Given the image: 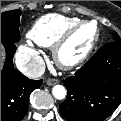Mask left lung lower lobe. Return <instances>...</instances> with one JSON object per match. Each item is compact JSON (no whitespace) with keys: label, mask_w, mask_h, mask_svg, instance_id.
<instances>
[{"label":"left lung lower lobe","mask_w":121,"mask_h":121,"mask_svg":"<svg viewBox=\"0 0 121 121\" xmlns=\"http://www.w3.org/2000/svg\"><path fill=\"white\" fill-rule=\"evenodd\" d=\"M59 110L67 121H103L121 103V42L102 46L74 76Z\"/></svg>","instance_id":"left-lung-lower-lobe-1"}]
</instances>
